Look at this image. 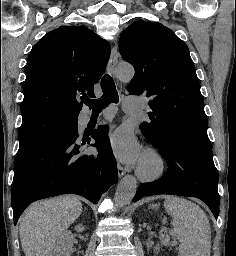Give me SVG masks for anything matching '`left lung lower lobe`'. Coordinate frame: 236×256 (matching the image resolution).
<instances>
[{"label":"left lung lower lobe","mask_w":236,"mask_h":256,"mask_svg":"<svg viewBox=\"0 0 236 256\" xmlns=\"http://www.w3.org/2000/svg\"><path fill=\"white\" fill-rule=\"evenodd\" d=\"M157 149L166 159L168 170L160 181L143 183L133 202L143 196L158 194L197 197L208 205L217 219L220 202L218 171L211 146L190 141H169L163 149Z\"/></svg>","instance_id":"0a47b994"}]
</instances>
